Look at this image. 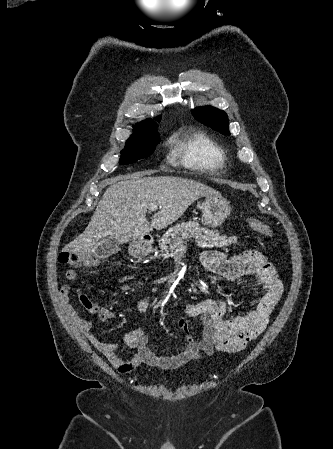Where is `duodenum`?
Masks as SVG:
<instances>
[{"label": "duodenum", "instance_id": "duodenum-1", "mask_svg": "<svg viewBox=\"0 0 333 449\" xmlns=\"http://www.w3.org/2000/svg\"><path fill=\"white\" fill-rule=\"evenodd\" d=\"M153 239L151 236L144 237L137 241L133 246V254L136 257L143 256L147 253L148 249L151 247Z\"/></svg>", "mask_w": 333, "mask_h": 449}]
</instances>
